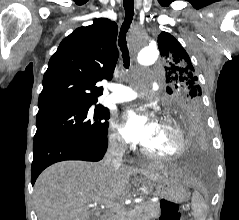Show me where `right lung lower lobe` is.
Listing matches in <instances>:
<instances>
[{
    "label": "right lung lower lobe",
    "instance_id": "obj_1",
    "mask_svg": "<svg viewBox=\"0 0 239 220\" xmlns=\"http://www.w3.org/2000/svg\"><path fill=\"white\" fill-rule=\"evenodd\" d=\"M107 150V138L100 143L74 139H46L34 143L31 181L49 165L63 160L99 161Z\"/></svg>",
    "mask_w": 239,
    "mask_h": 220
}]
</instances>
